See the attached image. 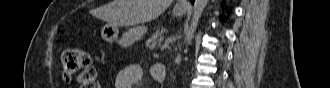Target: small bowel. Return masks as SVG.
Masks as SVG:
<instances>
[{"instance_id": "small-bowel-1", "label": "small bowel", "mask_w": 330, "mask_h": 88, "mask_svg": "<svg viewBox=\"0 0 330 88\" xmlns=\"http://www.w3.org/2000/svg\"><path fill=\"white\" fill-rule=\"evenodd\" d=\"M150 73L156 82H163L166 78V68L162 64L151 67ZM144 82V71L138 65H130L120 70L115 78L116 88H131L133 85L142 87Z\"/></svg>"}]
</instances>
